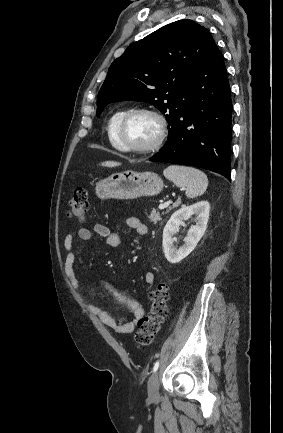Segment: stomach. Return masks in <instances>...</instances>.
<instances>
[{
  "label": "stomach",
  "mask_w": 283,
  "mask_h": 433,
  "mask_svg": "<svg viewBox=\"0 0 283 433\" xmlns=\"http://www.w3.org/2000/svg\"><path fill=\"white\" fill-rule=\"evenodd\" d=\"M163 188V180L156 172H116L98 180L95 192L99 198H138L154 196Z\"/></svg>",
  "instance_id": "1"
}]
</instances>
